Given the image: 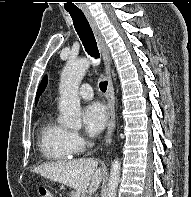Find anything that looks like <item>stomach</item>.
<instances>
[{"label":"stomach","instance_id":"1","mask_svg":"<svg viewBox=\"0 0 191 197\" xmlns=\"http://www.w3.org/2000/svg\"><path fill=\"white\" fill-rule=\"evenodd\" d=\"M70 197H84V194L75 190L71 192Z\"/></svg>","mask_w":191,"mask_h":197}]
</instances>
